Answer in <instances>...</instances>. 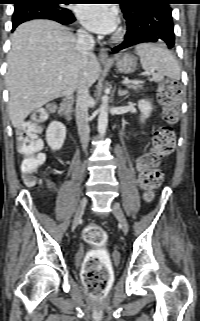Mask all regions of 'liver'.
Segmentation results:
<instances>
[{"instance_id": "6515ba94", "label": "liver", "mask_w": 200, "mask_h": 321, "mask_svg": "<svg viewBox=\"0 0 200 321\" xmlns=\"http://www.w3.org/2000/svg\"><path fill=\"white\" fill-rule=\"evenodd\" d=\"M76 46L73 33L54 21L32 20L17 27L5 78L14 127L46 103L71 96L82 80L89 87L95 83L100 73L96 56L90 52L83 57Z\"/></svg>"}]
</instances>
